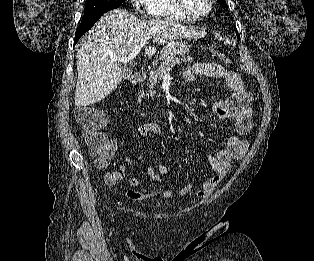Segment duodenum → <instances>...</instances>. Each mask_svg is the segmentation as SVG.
Segmentation results:
<instances>
[{
  "label": "duodenum",
  "mask_w": 314,
  "mask_h": 261,
  "mask_svg": "<svg viewBox=\"0 0 314 261\" xmlns=\"http://www.w3.org/2000/svg\"><path fill=\"white\" fill-rule=\"evenodd\" d=\"M145 73L142 71L135 72L131 77V82L135 85H139L145 80ZM133 105L136 111L142 112L144 110L141 99L139 96H135Z\"/></svg>",
  "instance_id": "obj_1"
}]
</instances>
